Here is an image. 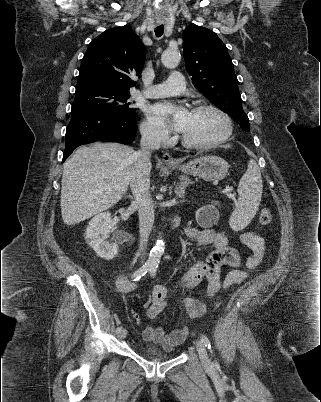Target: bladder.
Returning <instances> with one entry per match:
<instances>
[{"label": "bladder", "mask_w": 321, "mask_h": 402, "mask_svg": "<svg viewBox=\"0 0 321 402\" xmlns=\"http://www.w3.org/2000/svg\"><path fill=\"white\" fill-rule=\"evenodd\" d=\"M144 355L146 357H148V358L158 359V360H160V359H168V358H171L173 356V354L166 353V352L162 351L160 348L153 347V346L146 347L144 349Z\"/></svg>", "instance_id": "bladder-1"}]
</instances>
